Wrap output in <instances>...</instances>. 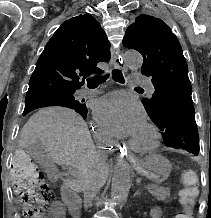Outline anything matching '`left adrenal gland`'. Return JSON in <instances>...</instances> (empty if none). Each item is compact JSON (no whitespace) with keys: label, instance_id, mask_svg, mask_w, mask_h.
Wrapping results in <instances>:
<instances>
[{"label":"left adrenal gland","instance_id":"left-adrenal-gland-1","mask_svg":"<svg viewBox=\"0 0 211 218\" xmlns=\"http://www.w3.org/2000/svg\"><path fill=\"white\" fill-rule=\"evenodd\" d=\"M140 194H141L140 190H136L134 196H140Z\"/></svg>","mask_w":211,"mask_h":218}]
</instances>
